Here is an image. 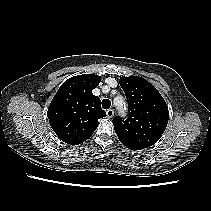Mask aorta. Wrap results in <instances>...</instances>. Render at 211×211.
Segmentation results:
<instances>
[{"label": "aorta", "mask_w": 211, "mask_h": 211, "mask_svg": "<svg viewBox=\"0 0 211 211\" xmlns=\"http://www.w3.org/2000/svg\"><path fill=\"white\" fill-rule=\"evenodd\" d=\"M116 100H120V104L117 105V108L119 110H122L123 107H125V106H123V105H125L123 98L122 97H118V98H116Z\"/></svg>", "instance_id": "762f6f07"}]
</instances>
